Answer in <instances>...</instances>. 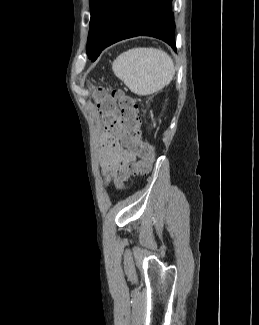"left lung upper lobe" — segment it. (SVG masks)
Wrapping results in <instances>:
<instances>
[{
	"label": "left lung upper lobe",
	"instance_id": "5c2ea615",
	"mask_svg": "<svg viewBox=\"0 0 259 325\" xmlns=\"http://www.w3.org/2000/svg\"><path fill=\"white\" fill-rule=\"evenodd\" d=\"M123 0H90L91 20L87 55L95 61L102 49L105 30Z\"/></svg>",
	"mask_w": 259,
	"mask_h": 325
}]
</instances>
